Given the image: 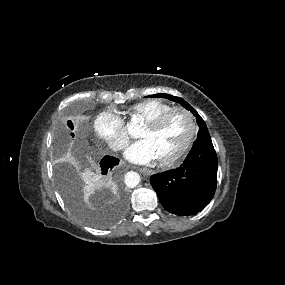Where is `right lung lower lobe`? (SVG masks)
<instances>
[{
    "label": "right lung lower lobe",
    "mask_w": 285,
    "mask_h": 285,
    "mask_svg": "<svg viewBox=\"0 0 285 285\" xmlns=\"http://www.w3.org/2000/svg\"><path fill=\"white\" fill-rule=\"evenodd\" d=\"M119 163V160L112 156H105L100 162L99 167V174H102L104 176H101V179L106 178L108 175H110L111 171L114 169L115 166H117ZM126 199L124 196H121V204L125 205Z\"/></svg>",
    "instance_id": "98d812e1"
}]
</instances>
